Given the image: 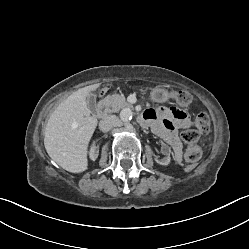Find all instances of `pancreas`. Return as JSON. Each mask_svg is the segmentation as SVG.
I'll use <instances>...</instances> for the list:
<instances>
[{"mask_svg": "<svg viewBox=\"0 0 249 249\" xmlns=\"http://www.w3.org/2000/svg\"><path fill=\"white\" fill-rule=\"evenodd\" d=\"M107 104L111 107V112H118L120 109L129 107L124 95L113 94L106 98Z\"/></svg>", "mask_w": 249, "mask_h": 249, "instance_id": "obj_1", "label": "pancreas"}]
</instances>
